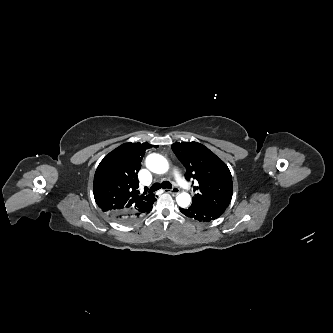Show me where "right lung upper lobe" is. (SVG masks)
<instances>
[{
  "instance_id": "obj_1",
  "label": "right lung upper lobe",
  "mask_w": 333,
  "mask_h": 333,
  "mask_svg": "<svg viewBox=\"0 0 333 333\" xmlns=\"http://www.w3.org/2000/svg\"><path fill=\"white\" fill-rule=\"evenodd\" d=\"M158 146L148 143H124L100 162L94 176L93 193L97 205L106 214L132 212L152 203L153 194L139 195L138 171L145 150Z\"/></svg>"
}]
</instances>
